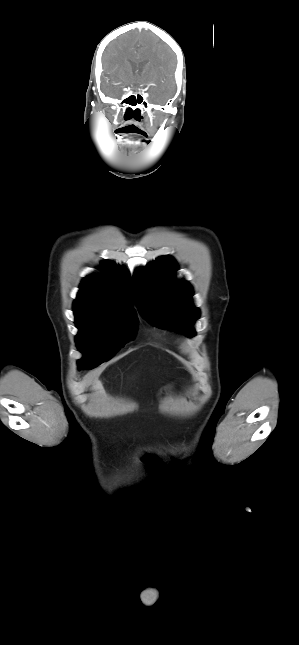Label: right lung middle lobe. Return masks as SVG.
Listing matches in <instances>:
<instances>
[{
    "label": "right lung middle lobe",
    "instance_id": "obj_1",
    "mask_svg": "<svg viewBox=\"0 0 299 645\" xmlns=\"http://www.w3.org/2000/svg\"><path fill=\"white\" fill-rule=\"evenodd\" d=\"M79 332L76 344L84 357L78 361L79 370L94 368L109 360L128 340L134 338L137 317L130 313L74 309Z\"/></svg>",
    "mask_w": 299,
    "mask_h": 645
}]
</instances>
